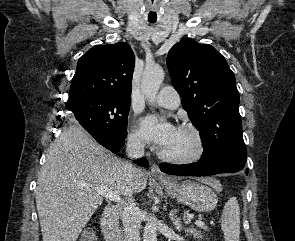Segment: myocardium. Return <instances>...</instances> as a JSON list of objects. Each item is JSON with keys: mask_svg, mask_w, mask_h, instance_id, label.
<instances>
[{"mask_svg": "<svg viewBox=\"0 0 295 241\" xmlns=\"http://www.w3.org/2000/svg\"><path fill=\"white\" fill-rule=\"evenodd\" d=\"M178 129L189 132L193 136L195 141V150L187 156H172L161 150L159 153L160 157L165 161L180 165L194 164L200 161L205 156L207 151L206 141L202 132L192 124H182Z\"/></svg>", "mask_w": 295, "mask_h": 241, "instance_id": "myocardium-1", "label": "myocardium"}]
</instances>
